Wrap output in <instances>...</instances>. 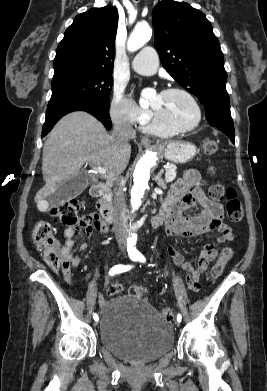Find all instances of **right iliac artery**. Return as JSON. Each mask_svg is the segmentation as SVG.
Returning <instances> with one entry per match:
<instances>
[{
	"instance_id": "1",
	"label": "right iliac artery",
	"mask_w": 267,
	"mask_h": 391,
	"mask_svg": "<svg viewBox=\"0 0 267 391\" xmlns=\"http://www.w3.org/2000/svg\"><path fill=\"white\" fill-rule=\"evenodd\" d=\"M133 261H137L136 258H131ZM131 268V266H124V265H116L114 266L113 268L110 269V272L109 274L111 276L117 274V273H121V272H125V271H128L129 269ZM93 318L95 321L98 320V316L96 314L93 315Z\"/></svg>"
}]
</instances>
